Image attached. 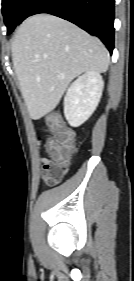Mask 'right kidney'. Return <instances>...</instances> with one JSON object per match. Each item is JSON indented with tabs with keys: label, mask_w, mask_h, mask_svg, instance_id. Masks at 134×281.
I'll list each match as a JSON object with an SVG mask.
<instances>
[{
	"label": "right kidney",
	"mask_w": 134,
	"mask_h": 281,
	"mask_svg": "<svg viewBox=\"0 0 134 281\" xmlns=\"http://www.w3.org/2000/svg\"><path fill=\"white\" fill-rule=\"evenodd\" d=\"M104 81L95 71H87L68 88L64 98V115L72 127L83 124L100 101Z\"/></svg>",
	"instance_id": "right-kidney-1"
}]
</instances>
